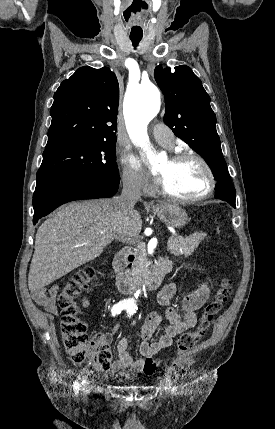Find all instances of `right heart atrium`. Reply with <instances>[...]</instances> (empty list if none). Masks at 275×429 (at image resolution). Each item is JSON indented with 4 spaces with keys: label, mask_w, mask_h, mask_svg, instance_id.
Listing matches in <instances>:
<instances>
[{
    "label": "right heart atrium",
    "mask_w": 275,
    "mask_h": 429,
    "mask_svg": "<svg viewBox=\"0 0 275 429\" xmlns=\"http://www.w3.org/2000/svg\"><path fill=\"white\" fill-rule=\"evenodd\" d=\"M122 181L124 186L133 192L148 191L151 188L150 184L142 175L129 167H124Z\"/></svg>",
    "instance_id": "obj_1"
}]
</instances>
